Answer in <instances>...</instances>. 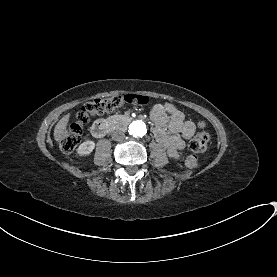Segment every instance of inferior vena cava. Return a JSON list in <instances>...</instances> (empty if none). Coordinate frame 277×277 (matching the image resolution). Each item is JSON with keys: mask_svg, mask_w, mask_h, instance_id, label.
Listing matches in <instances>:
<instances>
[{"mask_svg": "<svg viewBox=\"0 0 277 277\" xmlns=\"http://www.w3.org/2000/svg\"><path fill=\"white\" fill-rule=\"evenodd\" d=\"M112 139L118 142L123 141L125 139V134L121 131H114L112 133Z\"/></svg>", "mask_w": 277, "mask_h": 277, "instance_id": "1", "label": "inferior vena cava"}]
</instances>
